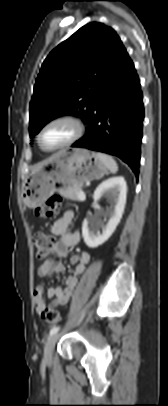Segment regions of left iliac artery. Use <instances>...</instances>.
I'll return each instance as SVG.
<instances>
[{"instance_id": "left-iliac-artery-1", "label": "left iliac artery", "mask_w": 168, "mask_h": 406, "mask_svg": "<svg viewBox=\"0 0 168 406\" xmlns=\"http://www.w3.org/2000/svg\"><path fill=\"white\" fill-rule=\"evenodd\" d=\"M59 327L55 326L50 330V335L56 334L59 331Z\"/></svg>"}]
</instances>
